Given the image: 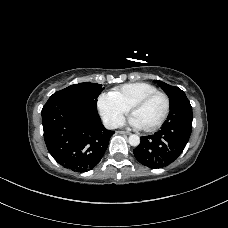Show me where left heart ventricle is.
Returning <instances> with one entry per match:
<instances>
[{"instance_id": "obj_1", "label": "left heart ventricle", "mask_w": 228, "mask_h": 228, "mask_svg": "<svg viewBox=\"0 0 228 228\" xmlns=\"http://www.w3.org/2000/svg\"><path fill=\"white\" fill-rule=\"evenodd\" d=\"M165 109V100L162 96H156L145 105L135 109L132 116L140 124L141 128L153 126L161 118Z\"/></svg>"}]
</instances>
